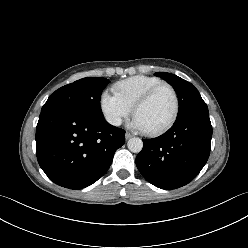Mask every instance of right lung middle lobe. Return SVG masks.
<instances>
[{"mask_svg":"<svg viewBox=\"0 0 248 248\" xmlns=\"http://www.w3.org/2000/svg\"><path fill=\"white\" fill-rule=\"evenodd\" d=\"M108 79L87 77L65 85L52 93L42 110L55 107H72L95 116H103L100 107V97Z\"/></svg>","mask_w":248,"mask_h":248,"instance_id":"right-lung-middle-lobe-1","label":"right lung middle lobe"}]
</instances>
